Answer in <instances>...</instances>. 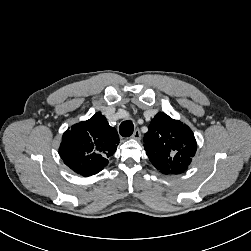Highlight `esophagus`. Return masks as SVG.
I'll return each instance as SVG.
<instances>
[{
    "mask_svg": "<svg viewBox=\"0 0 251 251\" xmlns=\"http://www.w3.org/2000/svg\"><path fill=\"white\" fill-rule=\"evenodd\" d=\"M131 138L136 139V140H140V139H141V132H140V130H139V129H136V130L133 132Z\"/></svg>",
    "mask_w": 251,
    "mask_h": 251,
    "instance_id": "1",
    "label": "esophagus"
}]
</instances>
